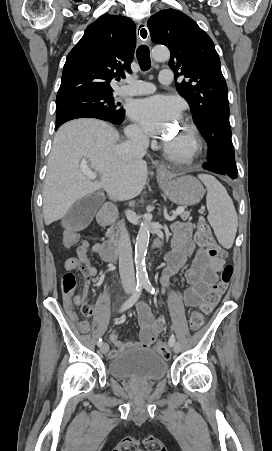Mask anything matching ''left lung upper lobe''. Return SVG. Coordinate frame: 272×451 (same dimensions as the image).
Listing matches in <instances>:
<instances>
[{"label": "left lung upper lobe", "mask_w": 272, "mask_h": 451, "mask_svg": "<svg viewBox=\"0 0 272 451\" xmlns=\"http://www.w3.org/2000/svg\"><path fill=\"white\" fill-rule=\"evenodd\" d=\"M148 28L152 41L171 51L169 66L175 79L180 75L187 78L176 87L209 142L208 162L236 175L228 90L213 41L190 17L171 8L152 15Z\"/></svg>", "instance_id": "1"}]
</instances>
